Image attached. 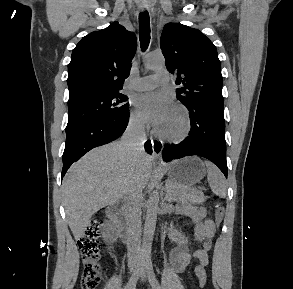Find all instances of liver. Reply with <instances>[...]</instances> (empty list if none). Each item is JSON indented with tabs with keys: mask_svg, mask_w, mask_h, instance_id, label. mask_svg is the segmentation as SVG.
<instances>
[{
	"mask_svg": "<svg viewBox=\"0 0 293 289\" xmlns=\"http://www.w3.org/2000/svg\"><path fill=\"white\" fill-rule=\"evenodd\" d=\"M152 172V158L133 153L122 140L94 148L74 163L62 183L63 203L75 240L85 235L94 213L118 202L130 184L141 189Z\"/></svg>",
	"mask_w": 293,
	"mask_h": 289,
	"instance_id": "obj_1",
	"label": "liver"
}]
</instances>
